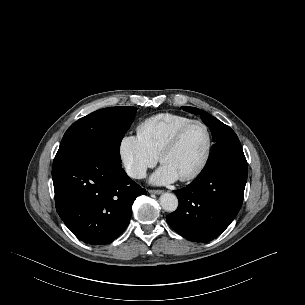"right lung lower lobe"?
<instances>
[{
  "mask_svg": "<svg viewBox=\"0 0 305 305\" xmlns=\"http://www.w3.org/2000/svg\"><path fill=\"white\" fill-rule=\"evenodd\" d=\"M52 179L59 216L77 238L92 245L116 239L130 222L134 200L146 193L121 163L97 150L55 157Z\"/></svg>",
  "mask_w": 305,
  "mask_h": 305,
  "instance_id": "1",
  "label": "right lung lower lobe"
}]
</instances>
